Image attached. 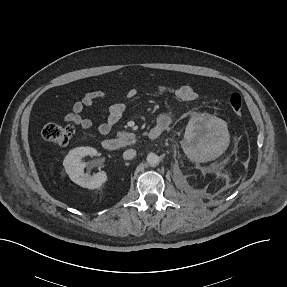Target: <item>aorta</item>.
Segmentation results:
<instances>
[{
  "label": "aorta",
  "instance_id": "aorta-1",
  "mask_svg": "<svg viewBox=\"0 0 287 287\" xmlns=\"http://www.w3.org/2000/svg\"><path fill=\"white\" fill-rule=\"evenodd\" d=\"M146 159L150 166H157L160 162L159 156L155 153H149Z\"/></svg>",
  "mask_w": 287,
  "mask_h": 287
}]
</instances>
